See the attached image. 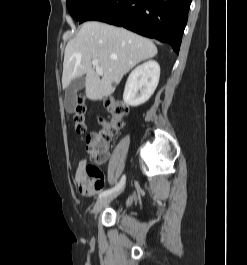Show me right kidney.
<instances>
[{
  "label": "right kidney",
  "instance_id": "ca27d5eb",
  "mask_svg": "<svg viewBox=\"0 0 247 265\" xmlns=\"http://www.w3.org/2000/svg\"><path fill=\"white\" fill-rule=\"evenodd\" d=\"M160 77V66L156 61L150 60L137 66L129 75L123 100L132 107H137L154 93Z\"/></svg>",
  "mask_w": 247,
  "mask_h": 265
}]
</instances>
